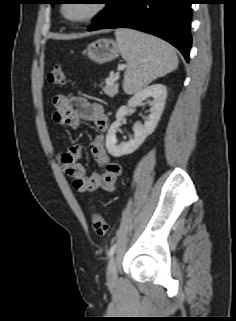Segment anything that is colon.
I'll return each instance as SVG.
<instances>
[{
  "label": "colon",
  "mask_w": 236,
  "mask_h": 321,
  "mask_svg": "<svg viewBox=\"0 0 236 321\" xmlns=\"http://www.w3.org/2000/svg\"><path fill=\"white\" fill-rule=\"evenodd\" d=\"M48 82L57 86L64 85L66 83V73L63 67L55 66L48 74ZM92 227L98 236H104L108 228L104 216L96 208H93Z\"/></svg>",
  "instance_id": "1"
}]
</instances>
